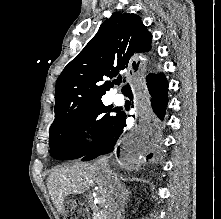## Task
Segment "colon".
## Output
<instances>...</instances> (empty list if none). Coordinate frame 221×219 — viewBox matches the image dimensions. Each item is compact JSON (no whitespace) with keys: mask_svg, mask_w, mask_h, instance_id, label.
<instances>
[{"mask_svg":"<svg viewBox=\"0 0 221 219\" xmlns=\"http://www.w3.org/2000/svg\"><path fill=\"white\" fill-rule=\"evenodd\" d=\"M66 211H67V219H82L83 217V209L80 205L69 201L66 204Z\"/></svg>","mask_w":221,"mask_h":219,"instance_id":"5ec220e1","label":"colon"}]
</instances>
